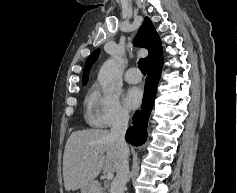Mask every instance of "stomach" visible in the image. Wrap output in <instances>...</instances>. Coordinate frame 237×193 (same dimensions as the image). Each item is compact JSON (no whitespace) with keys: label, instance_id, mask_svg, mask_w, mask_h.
<instances>
[{"label":"stomach","instance_id":"0dacf381","mask_svg":"<svg viewBox=\"0 0 237 193\" xmlns=\"http://www.w3.org/2000/svg\"><path fill=\"white\" fill-rule=\"evenodd\" d=\"M81 193H97V187L95 183H90L81 188Z\"/></svg>","mask_w":237,"mask_h":193}]
</instances>
